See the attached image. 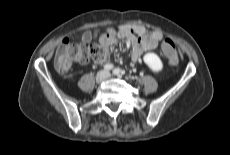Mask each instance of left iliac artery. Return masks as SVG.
<instances>
[{
    "mask_svg": "<svg viewBox=\"0 0 230 155\" xmlns=\"http://www.w3.org/2000/svg\"><path fill=\"white\" fill-rule=\"evenodd\" d=\"M113 73H114L115 75H123V74H124V71H122L120 68H115V69L113 70Z\"/></svg>",
    "mask_w": 230,
    "mask_h": 155,
    "instance_id": "1",
    "label": "left iliac artery"
}]
</instances>
